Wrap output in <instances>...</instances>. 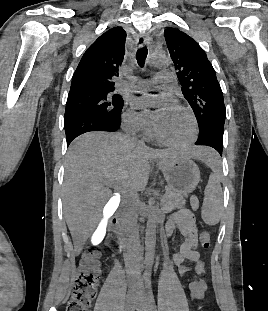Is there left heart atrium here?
I'll return each instance as SVG.
<instances>
[{
	"mask_svg": "<svg viewBox=\"0 0 268 311\" xmlns=\"http://www.w3.org/2000/svg\"><path fill=\"white\" fill-rule=\"evenodd\" d=\"M149 97L158 99L157 105L159 106V109L155 110L153 113V117L157 123L177 109L176 101L169 93L146 94L141 97H135L131 99V104L135 108L148 107L150 106V103L147 100Z\"/></svg>",
	"mask_w": 268,
	"mask_h": 311,
	"instance_id": "left-heart-atrium-1",
	"label": "left heart atrium"
}]
</instances>
